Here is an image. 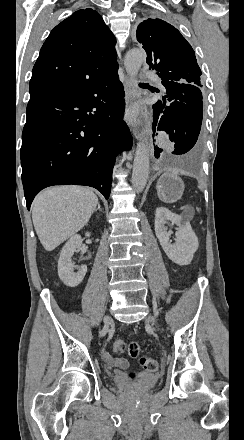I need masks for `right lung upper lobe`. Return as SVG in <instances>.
Returning <instances> with one entry per match:
<instances>
[{
	"label": "right lung upper lobe",
	"instance_id": "1",
	"mask_svg": "<svg viewBox=\"0 0 244 440\" xmlns=\"http://www.w3.org/2000/svg\"><path fill=\"white\" fill-rule=\"evenodd\" d=\"M115 43L97 11L74 12L43 44L33 67L30 95L72 88L117 70Z\"/></svg>",
	"mask_w": 244,
	"mask_h": 440
}]
</instances>
